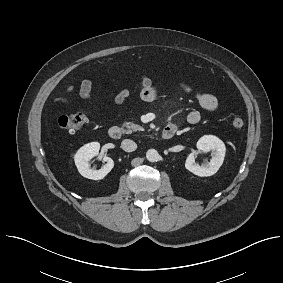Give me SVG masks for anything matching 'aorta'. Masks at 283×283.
I'll use <instances>...</instances> for the list:
<instances>
[{"mask_svg":"<svg viewBox=\"0 0 283 283\" xmlns=\"http://www.w3.org/2000/svg\"><path fill=\"white\" fill-rule=\"evenodd\" d=\"M159 153L155 149H149L146 152V158L149 162H157L159 160Z\"/></svg>","mask_w":283,"mask_h":283,"instance_id":"1","label":"aorta"}]
</instances>
